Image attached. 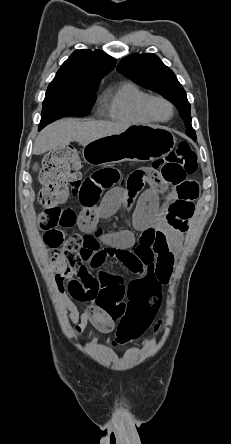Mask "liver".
<instances>
[{
	"mask_svg": "<svg viewBox=\"0 0 231 444\" xmlns=\"http://www.w3.org/2000/svg\"><path fill=\"white\" fill-rule=\"evenodd\" d=\"M130 125L107 121H80L66 118L44 128L35 140L33 153L43 154L49 150L64 148L76 141L86 146L99 138L119 134Z\"/></svg>",
	"mask_w": 231,
	"mask_h": 444,
	"instance_id": "liver-1",
	"label": "liver"
}]
</instances>
